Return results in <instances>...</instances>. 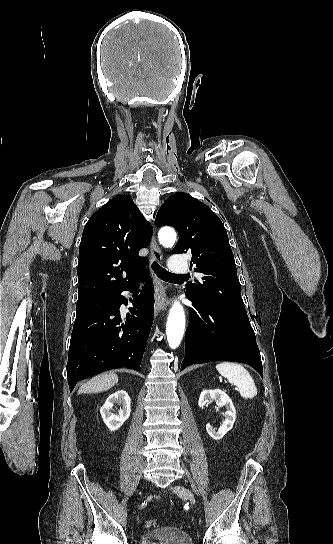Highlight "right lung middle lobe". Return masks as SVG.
I'll list each match as a JSON object with an SVG mask.
<instances>
[{
	"label": "right lung middle lobe",
	"instance_id": "dd1d6c3e",
	"mask_svg": "<svg viewBox=\"0 0 333 544\" xmlns=\"http://www.w3.org/2000/svg\"><path fill=\"white\" fill-rule=\"evenodd\" d=\"M115 298V295H101L81 301L76 304V320L83 319L106 305L110 304Z\"/></svg>",
	"mask_w": 333,
	"mask_h": 544
}]
</instances>
